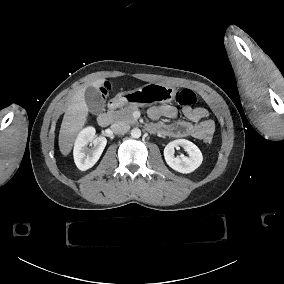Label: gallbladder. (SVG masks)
<instances>
[{"instance_id": "1", "label": "gallbladder", "mask_w": 284, "mask_h": 284, "mask_svg": "<svg viewBox=\"0 0 284 284\" xmlns=\"http://www.w3.org/2000/svg\"><path fill=\"white\" fill-rule=\"evenodd\" d=\"M85 101L89 111L94 115H99L104 111V100L98 89L89 86L86 90Z\"/></svg>"}]
</instances>
